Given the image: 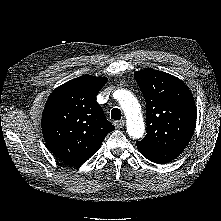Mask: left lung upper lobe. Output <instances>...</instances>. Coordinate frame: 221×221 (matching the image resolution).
I'll use <instances>...</instances> for the list:
<instances>
[{
	"label": "left lung upper lobe",
	"instance_id": "1",
	"mask_svg": "<svg viewBox=\"0 0 221 221\" xmlns=\"http://www.w3.org/2000/svg\"><path fill=\"white\" fill-rule=\"evenodd\" d=\"M146 101L147 134L136 145L155 163L176 159L188 145L196 125V106L179 78L147 68L134 73Z\"/></svg>",
	"mask_w": 221,
	"mask_h": 221
}]
</instances>
